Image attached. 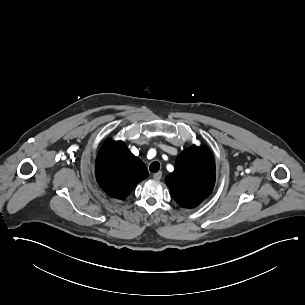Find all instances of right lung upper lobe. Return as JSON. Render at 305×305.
<instances>
[{
  "instance_id": "right-lung-upper-lobe-1",
  "label": "right lung upper lobe",
  "mask_w": 305,
  "mask_h": 305,
  "mask_svg": "<svg viewBox=\"0 0 305 305\" xmlns=\"http://www.w3.org/2000/svg\"><path fill=\"white\" fill-rule=\"evenodd\" d=\"M96 178L111 197L125 199L148 176L144 163L122 141L108 139L96 160Z\"/></svg>"
}]
</instances>
